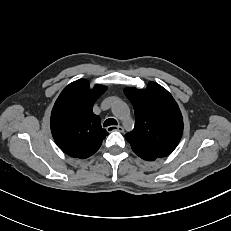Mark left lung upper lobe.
I'll list each match as a JSON object with an SVG mask.
<instances>
[{"mask_svg":"<svg viewBox=\"0 0 231 231\" xmlns=\"http://www.w3.org/2000/svg\"><path fill=\"white\" fill-rule=\"evenodd\" d=\"M124 93L135 111L134 129L125 135L134 153L148 161L169 155L178 145L184 126L174 98L155 82L143 90L126 88Z\"/></svg>","mask_w":231,"mask_h":231,"instance_id":"5c2ea615","label":"left lung upper lobe"}]
</instances>
